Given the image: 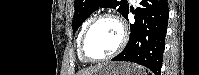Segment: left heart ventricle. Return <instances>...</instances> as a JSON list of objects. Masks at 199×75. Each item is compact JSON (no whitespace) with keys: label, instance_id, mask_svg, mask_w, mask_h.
<instances>
[{"label":"left heart ventricle","instance_id":"left-heart-ventricle-1","mask_svg":"<svg viewBox=\"0 0 199 75\" xmlns=\"http://www.w3.org/2000/svg\"><path fill=\"white\" fill-rule=\"evenodd\" d=\"M121 32L111 20H101L90 30L85 41V52L92 58H100L111 53L118 46Z\"/></svg>","mask_w":199,"mask_h":75}]
</instances>
